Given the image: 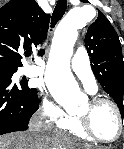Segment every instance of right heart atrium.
<instances>
[{
  "label": "right heart atrium",
  "instance_id": "right-heart-atrium-1",
  "mask_svg": "<svg viewBox=\"0 0 124 149\" xmlns=\"http://www.w3.org/2000/svg\"><path fill=\"white\" fill-rule=\"evenodd\" d=\"M40 113L49 119V123H55L61 128L65 127L72 118L51 100H43Z\"/></svg>",
  "mask_w": 124,
  "mask_h": 149
}]
</instances>
